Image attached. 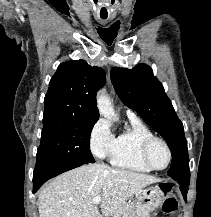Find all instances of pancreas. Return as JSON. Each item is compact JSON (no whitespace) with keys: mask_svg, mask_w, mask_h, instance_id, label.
I'll return each instance as SVG.
<instances>
[{"mask_svg":"<svg viewBox=\"0 0 211 217\" xmlns=\"http://www.w3.org/2000/svg\"><path fill=\"white\" fill-rule=\"evenodd\" d=\"M135 209L133 204H125L114 214V217H135Z\"/></svg>","mask_w":211,"mask_h":217,"instance_id":"pancreas-1","label":"pancreas"}]
</instances>
